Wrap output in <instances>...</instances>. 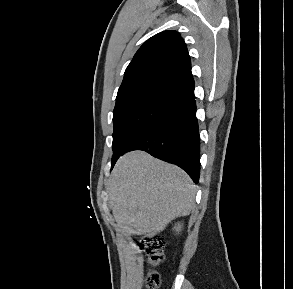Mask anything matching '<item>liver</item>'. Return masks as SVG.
Listing matches in <instances>:
<instances>
[{
  "instance_id": "1",
  "label": "liver",
  "mask_w": 293,
  "mask_h": 289,
  "mask_svg": "<svg viewBox=\"0 0 293 289\" xmlns=\"http://www.w3.org/2000/svg\"><path fill=\"white\" fill-rule=\"evenodd\" d=\"M108 192L117 224L129 234L151 237L191 212L196 187L179 167L135 151L117 161Z\"/></svg>"
}]
</instances>
